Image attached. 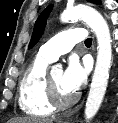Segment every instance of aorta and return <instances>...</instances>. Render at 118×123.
Wrapping results in <instances>:
<instances>
[{
  "label": "aorta",
  "mask_w": 118,
  "mask_h": 123,
  "mask_svg": "<svg viewBox=\"0 0 118 123\" xmlns=\"http://www.w3.org/2000/svg\"><path fill=\"white\" fill-rule=\"evenodd\" d=\"M60 19L63 23L75 19L83 20L97 38V60L84 112L86 121H89L98 112L108 85L112 59L110 30L103 16L88 6L79 5L67 8L61 14Z\"/></svg>",
  "instance_id": "aorta-1"
}]
</instances>
